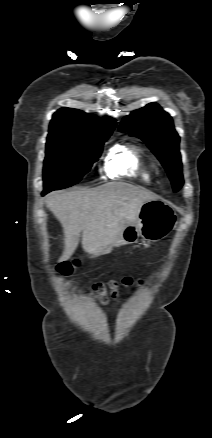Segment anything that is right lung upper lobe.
<instances>
[{
	"mask_svg": "<svg viewBox=\"0 0 212 438\" xmlns=\"http://www.w3.org/2000/svg\"><path fill=\"white\" fill-rule=\"evenodd\" d=\"M116 126L112 118L96 119L77 109L62 108L54 115L48 136L91 138L111 135Z\"/></svg>",
	"mask_w": 212,
	"mask_h": 438,
	"instance_id": "obj_1",
	"label": "right lung upper lobe"
}]
</instances>
